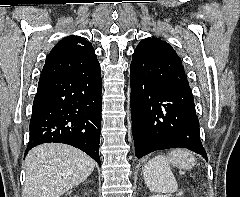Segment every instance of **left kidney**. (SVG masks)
Segmentation results:
<instances>
[{"label":"left kidney","instance_id":"1","mask_svg":"<svg viewBox=\"0 0 240 197\" xmlns=\"http://www.w3.org/2000/svg\"><path fill=\"white\" fill-rule=\"evenodd\" d=\"M149 197H168L167 195H163V194H153Z\"/></svg>","mask_w":240,"mask_h":197}]
</instances>
